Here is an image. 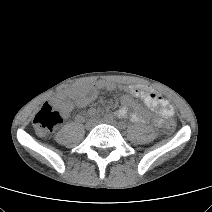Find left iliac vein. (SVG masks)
I'll return each mask as SVG.
<instances>
[{"label":"left iliac vein","mask_w":212,"mask_h":212,"mask_svg":"<svg viewBox=\"0 0 212 212\" xmlns=\"http://www.w3.org/2000/svg\"><path fill=\"white\" fill-rule=\"evenodd\" d=\"M99 123H106V124H109V125L119 128L114 121L109 120V119L100 120Z\"/></svg>","instance_id":"1"}]
</instances>
